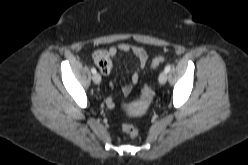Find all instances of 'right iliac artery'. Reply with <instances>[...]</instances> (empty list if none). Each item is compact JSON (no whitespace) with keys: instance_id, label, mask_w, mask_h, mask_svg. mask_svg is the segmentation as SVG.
<instances>
[{"instance_id":"82829eb1","label":"right iliac artery","mask_w":248,"mask_h":165,"mask_svg":"<svg viewBox=\"0 0 248 165\" xmlns=\"http://www.w3.org/2000/svg\"><path fill=\"white\" fill-rule=\"evenodd\" d=\"M91 72H92L93 74H95V73H96V69H95L94 67H92V68H91Z\"/></svg>"}]
</instances>
